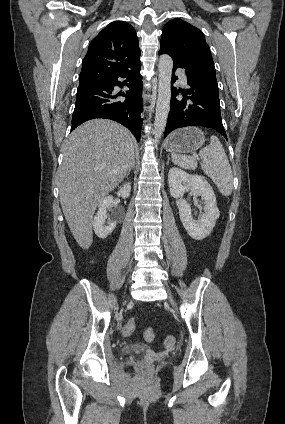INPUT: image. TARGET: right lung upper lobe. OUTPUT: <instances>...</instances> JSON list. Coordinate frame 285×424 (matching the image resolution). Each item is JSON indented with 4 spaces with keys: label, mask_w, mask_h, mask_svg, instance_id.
Masks as SVG:
<instances>
[{
    "label": "right lung upper lobe",
    "mask_w": 285,
    "mask_h": 424,
    "mask_svg": "<svg viewBox=\"0 0 285 424\" xmlns=\"http://www.w3.org/2000/svg\"><path fill=\"white\" fill-rule=\"evenodd\" d=\"M139 41L134 28L124 21L106 26L90 43L82 63L79 83L103 80L139 65Z\"/></svg>",
    "instance_id": "obj_1"
}]
</instances>
